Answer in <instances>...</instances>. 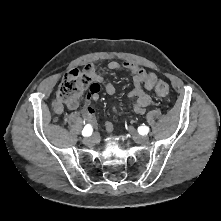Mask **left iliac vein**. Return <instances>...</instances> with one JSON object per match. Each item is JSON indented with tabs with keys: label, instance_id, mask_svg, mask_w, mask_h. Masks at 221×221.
I'll list each match as a JSON object with an SVG mask.
<instances>
[{
	"label": "left iliac vein",
	"instance_id": "obj_1",
	"mask_svg": "<svg viewBox=\"0 0 221 221\" xmlns=\"http://www.w3.org/2000/svg\"><path fill=\"white\" fill-rule=\"evenodd\" d=\"M128 131L133 137L134 141L138 144H145L149 141L148 136L140 135L133 127H129Z\"/></svg>",
	"mask_w": 221,
	"mask_h": 221
}]
</instances>
